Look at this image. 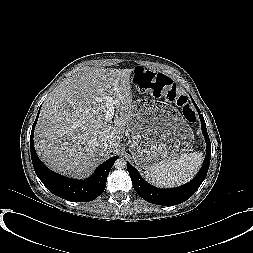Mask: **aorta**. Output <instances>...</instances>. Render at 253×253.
Returning a JSON list of instances; mask_svg holds the SVG:
<instances>
[{"instance_id": "762f6f07", "label": "aorta", "mask_w": 253, "mask_h": 253, "mask_svg": "<svg viewBox=\"0 0 253 253\" xmlns=\"http://www.w3.org/2000/svg\"><path fill=\"white\" fill-rule=\"evenodd\" d=\"M127 166V162L124 158H118L115 163H114V167L118 170H122L125 169Z\"/></svg>"}]
</instances>
